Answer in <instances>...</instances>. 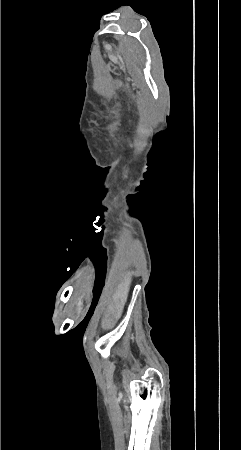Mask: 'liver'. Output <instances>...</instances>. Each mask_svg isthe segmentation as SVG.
Segmentation results:
<instances>
[{
    "instance_id": "1",
    "label": "liver",
    "mask_w": 241,
    "mask_h": 450,
    "mask_svg": "<svg viewBox=\"0 0 241 450\" xmlns=\"http://www.w3.org/2000/svg\"><path fill=\"white\" fill-rule=\"evenodd\" d=\"M131 274H133V272H128V274H127V276H125L123 282H121V284H119V286L116 290V294H114L115 302H119V300H120L121 304H125V302L127 300L130 284L132 282Z\"/></svg>"
}]
</instances>
